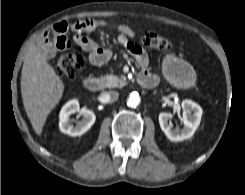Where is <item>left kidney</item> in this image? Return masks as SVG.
<instances>
[{
    "label": "left kidney",
    "instance_id": "5707ae66",
    "mask_svg": "<svg viewBox=\"0 0 245 195\" xmlns=\"http://www.w3.org/2000/svg\"><path fill=\"white\" fill-rule=\"evenodd\" d=\"M183 123L182 130H174L168 123V119L172 116L171 113L162 112L159 114V124L162 131L168 139L174 142L183 141L193 136L196 129L200 125L202 117V108L191 100L182 102Z\"/></svg>",
    "mask_w": 245,
    "mask_h": 195
}]
</instances>
